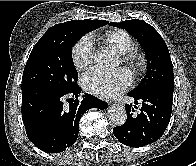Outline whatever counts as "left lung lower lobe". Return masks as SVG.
I'll list each match as a JSON object with an SVG mask.
<instances>
[{
    "mask_svg": "<svg viewBox=\"0 0 196 166\" xmlns=\"http://www.w3.org/2000/svg\"><path fill=\"white\" fill-rule=\"evenodd\" d=\"M134 108L142 101L140 113L133 116L132 104L126 105L127 121L113 129L119 142L130 147H142L158 140L164 133L171 116L173 91L152 89L141 94H131Z\"/></svg>",
    "mask_w": 196,
    "mask_h": 166,
    "instance_id": "1",
    "label": "left lung lower lobe"
}]
</instances>
